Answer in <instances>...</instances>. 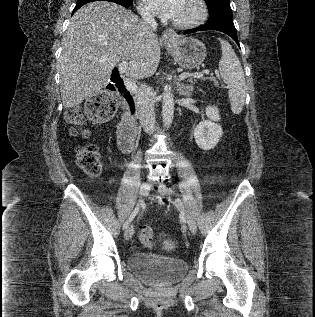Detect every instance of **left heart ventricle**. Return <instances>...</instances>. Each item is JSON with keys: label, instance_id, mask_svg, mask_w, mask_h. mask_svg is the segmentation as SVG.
Segmentation results:
<instances>
[{"label": "left heart ventricle", "instance_id": "left-heart-ventricle-1", "mask_svg": "<svg viewBox=\"0 0 315 317\" xmlns=\"http://www.w3.org/2000/svg\"><path fill=\"white\" fill-rule=\"evenodd\" d=\"M198 9L194 0H183L177 15L173 18L176 21H188L197 15Z\"/></svg>", "mask_w": 315, "mask_h": 317}]
</instances>
